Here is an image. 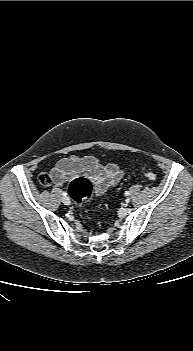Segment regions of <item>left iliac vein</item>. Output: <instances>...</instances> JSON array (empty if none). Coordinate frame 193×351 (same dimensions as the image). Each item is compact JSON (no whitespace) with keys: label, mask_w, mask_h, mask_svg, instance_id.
<instances>
[{"label":"left iliac vein","mask_w":193,"mask_h":351,"mask_svg":"<svg viewBox=\"0 0 193 351\" xmlns=\"http://www.w3.org/2000/svg\"><path fill=\"white\" fill-rule=\"evenodd\" d=\"M129 202H130V198H127V199H126V203H129Z\"/></svg>","instance_id":"obj_1"}]
</instances>
